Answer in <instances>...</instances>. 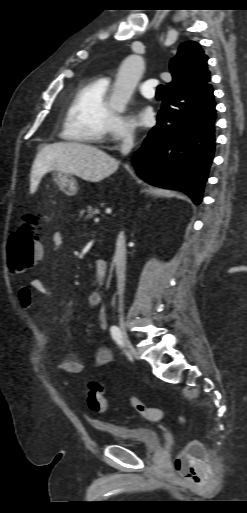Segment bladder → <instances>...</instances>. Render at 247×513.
I'll return each instance as SVG.
<instances>
[{
    "mask_svg": "<svg viewBox=\"0 0 247 513\" xmlns=\"http://www.w3.org/2000/svg\"><path fill=\"white\" fill-rule=\"evenodd\" d=\"M95 427L111 434L119 444H139L146 450L160 447V441L155 431L145 427H128L109 422H98Z\"/></svg>",
    "mask_w": 247,
    "mask_h": 513,
    "instance_id": "31cf9c89",
    "label": "bladder"
}]
</instances>
